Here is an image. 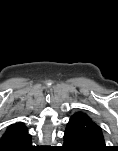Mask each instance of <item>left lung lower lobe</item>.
<instances>
[{
	"instance_id": "obj_1",
	"label": "left lung lower lobe",
	"mask_w": 118,
	"mask_h": 151,
	"mask_svg": "<svg viewBox=\"0 0 118 151\" xmlns=\"http://www.w3.org/2000/svg\"><path fill=\"white\" fill-rule=\"evenodd\" d=\"M62 148L64 151H96L83 136L68 128L65 130Z\"/></svg>"
}]
</instances>
